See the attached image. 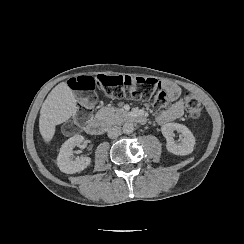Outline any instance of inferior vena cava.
Segmentation results:
<instances>
[{
    "instance_id": "obj_1",
    "label": "inferior vena cava",
    "mask_w": 244,
    "mask_h": 244,
    "mask_svg": "<svg viewBox=\"0 0 244 244\" xmlns=\"http://www.w3.org/2000/svg\"><path fill=\"white\" fill-rule=\"evenodd\" d=\"M107 134L111 139L117 138L121 134V129L118 126H111L108 129Z\"/></svg>"
}]
</instances>
